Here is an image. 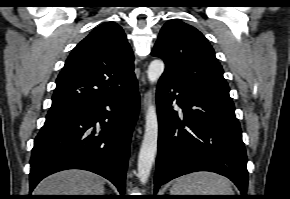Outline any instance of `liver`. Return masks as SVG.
<instances>
[{
	"instance_id": "obj_1",
	"label": "liver",
	"mask_w": 290,
	"mask_h": 199,
	"mask_svg": "<svg viewBox=\"0 0 290 199\" xmlns=\"http://www.w3.org/2000/svg\"><path fill=\"white\" fill-rule=\"evenodd\" d=\"M35 195H103L104 180L83 170H66L55 173L36 187Z\"/></svg>"
}]
</instances>
